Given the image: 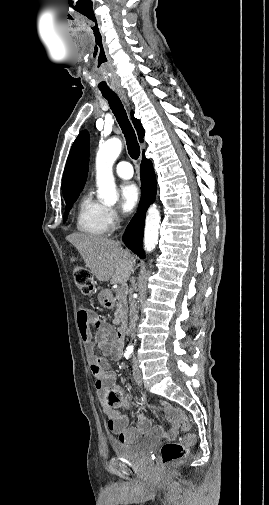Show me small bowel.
Masks as SVG:
<instances>
[{
  "label": "small bowel",
  "instance_id": "c3829d8e",
  "mask_svg": "<svg viewBox=\"0 0 269 505\" xmlns=\"http://www.w3.org/2000/svg\"><path fill=\"white\" fill-rule=\"evenodd\" d=\"M77 317L85 352L90 363V371L95 379V389L102 403L103 412L107 416L109 430L118 435L119 441L124 443L136 442L144 435L151 433L159 436H176L179 431V423L173 418L175 408L168 403H164V406L168 419L172 423L169 430H165L162 426L153 427L151 420L140 410L137 411V424L130 427L128 417L107 404L106 395L116 379L115 373L110 369L107 357L114 360L120 359L122 349L115 341V332L112 326L101 320L95 312L80 309ZM92 328L96 329L95 333L92 332ZM95 345H98L102 355L95 354Z\"/></svg>",
  "mask_w": 269,
  "mask_h": 505
}]
</instances>
